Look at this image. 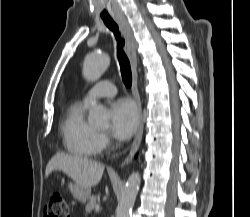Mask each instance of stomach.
Segmentation results:
<instances>
[{"mask_svg":"<svg viewBox=\"0 0 250 217\" xmlns=\"http://www.w3.org/2000/svg\"><path fill=\"white\" fill-rule=\"evenodd\" d=\"M69 189L73 195V197L85 204L90 198H91V190L90 188H83V187H79L77 184H69Z\"/></svg>","mask_w":250,"mask_h":217,"instance_id":"obj_1","label":"stomach"}]
</instances>
